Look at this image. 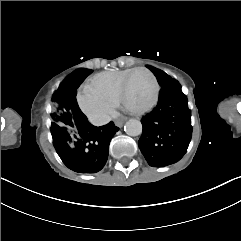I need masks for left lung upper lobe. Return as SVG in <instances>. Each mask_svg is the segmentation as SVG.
Instances as JSON below:
<instances>
[{
    "instance_id": "left-lung-upper-lobe-1",
    "label": "left lung upper lobe",
    "mask_w": 241,
    "mask_h": 241,
    "mask_svg": "<svg viewBox=\"0 0 241 241\" xmlns=\"http://www.w3.org/2000/svg\"><path fill=\"white\" fill-rule=\"evenodd\" d=\"M148 69H150L154 75L157 77V80H158V83L163 87V86H166L170 83H173V82H176L175 79H173L172 77H170L169 75H167L165 72L159 70V69H156V68H153L151 66H147Z\"/></svg>"
}]
</instances>
